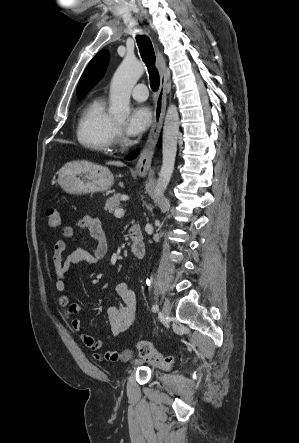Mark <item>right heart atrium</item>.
<instances>
[{"mask_svg": "<svg viewBox=\"0 0 299 443\" xmlns=\"http://www.w3.org/2000/svg\"><path fill=\"white\" fill-rule=\"evenodd\" d=\"M116 133H118V134L120 133V129L119 128L116 129Z\"/></svg>", "mask_w": 299, "mask_h": 443, "instance_id": "d8ad5b80", "label": "right heart atrium"}]
</instances>
